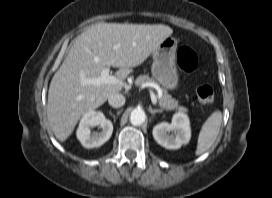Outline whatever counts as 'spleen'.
I'll return each mask as SVG.
<instances>
[{"label":"spleen","mask_w":272,"mask_h":198,"mask_svg":"<svg viewBox=\"0 0 272 198\" xmlns=\"http://www.w3.org/2000/svg\"><path fill=\"white\" fill-rule=\"evenodd\" d=\"M221 124V111H214L207 118L200 130L195 155L199 156L210 149L219 134Z\"/></svg>","instance_id":"spleen-1"}]
</instances>
